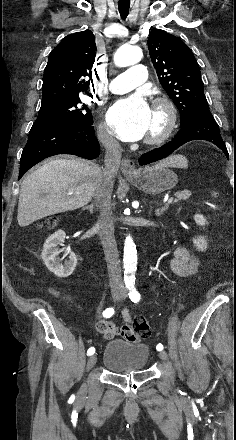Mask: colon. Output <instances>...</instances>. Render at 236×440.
<instances>
[{"label":"colon","instance_id":"colon-1","mask_svg":"<svg viewBox=\"0 0 236 440\" xmlns=\"http://www.w3.org/2000/svg\"><path fill=\"white\" fill-rule=\"evenodd\" d=\"M55 220L50 219L46 221L43 226L47 228H52L55 225ZM134 330L137 331V338L132 339V341H136L138 339H145L150 335V326L146 318L143 316H136L133 320Z\"/></svg>","mask_w":236,"mask_h":440}]
</instances>
